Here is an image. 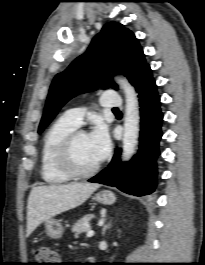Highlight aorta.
I'll list each match as a JSON object with an SVG mask.
<instances>
[{
  "label": "aorta",
  "mask_w": 205,
  "mask_h": 265,
  "mask_svg": "<svg viewBox=\"0 0 205 265\" xmlns=\"http://www.w3.org/2000/svg\"><path fill=\"white\" fill-rule=\"evenodd\" d=\"M123 89L126 99L125 121L123 132V159L128 161L134 154L139 135V104L134 87L125 78H116Z\"/></svg>",
  "instance_id": "1"
}]
</instances>
